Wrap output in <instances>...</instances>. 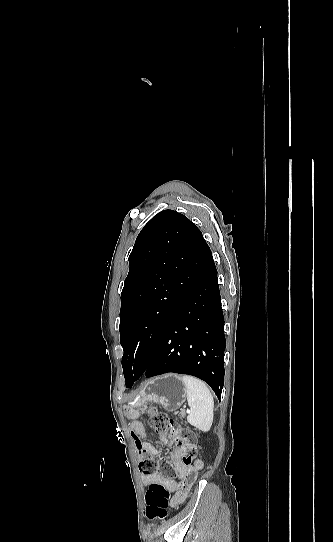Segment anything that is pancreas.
<instances>
[{
	"label": "pancreas",
	"instance_id": "cf45deb5",
	"mask_svg": "<svg viewBox=\"0 0 333 542\" xmlns=\"http://www.w3.org/2000/svg\"><path fill=\"white\" fill-rule=\"evenodd\" d=\"M175 416H179L180 420H183V418H185L186 416V412H184V410H182V412H174Z\"/></svg>",
	"mask_w": 333,
	"mask_h": 542
}]
</instances>
